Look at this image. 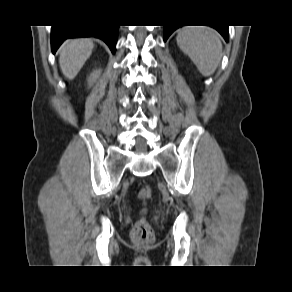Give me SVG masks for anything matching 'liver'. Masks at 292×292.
<instances>
[{"label":"liver","instance_id":"liver-1","mask_svg":"<svg viewBox=\"0 0 292 292\" xmlns=\"http://www.w3.org/2000/svg\"><path fill=\"white\" fill-rule=\"evenodd\" d=\"M94 43L91 39L67 40L60 48L59 64L63 75L73 80L92 54Z\"/></svg>","mask_w":292,"mask_h":292}]
</instances>
